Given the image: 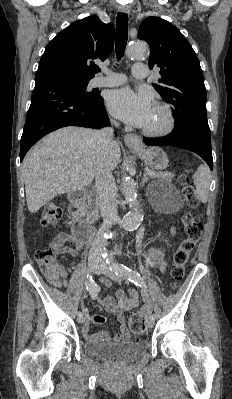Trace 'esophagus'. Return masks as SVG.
I'll use <instances>...</instances> for the list:
<instances>
[{
	"instance_id": "obj_1",
	"label": "esophagus",
	"mask_w": 232,
	"mask_h": 399,
	"mask_svg": "<svg viewBox=\"0 0 232 399\" xmlns=\"http://www.w3.org/2000/svg\"><path fill=\"white\" fill-rule=\"evenodd\" d=\"M119 12L122 13H130V7L129 5H121L119 7ZM124 142L129 147L130 149H137L141 146L142 144V139L139 137V135L136 134H126L124 136Z\"/></svg>"
}]
</instances>
